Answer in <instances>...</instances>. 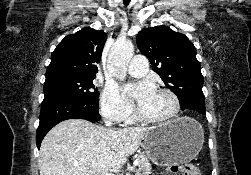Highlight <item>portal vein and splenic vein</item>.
<instances>
[{
    "mask_svg": "<svg viewBox=\"0 0 251 175\" xmlns=\"http://www.w3.org/2000/svg\"><path fill=\"white\" fill-rule=\"evenodd\" d=\"M138 159H135L133 165H138ZM86 175H92V173H86ZM101 175H115V173H101Z\"/></svg>",
    "mask_w": 251,
    "mask_h": 175,
    "instance_id": "obj_1",
    "label": "portal vein and splenic vein"
}]
</instances>
